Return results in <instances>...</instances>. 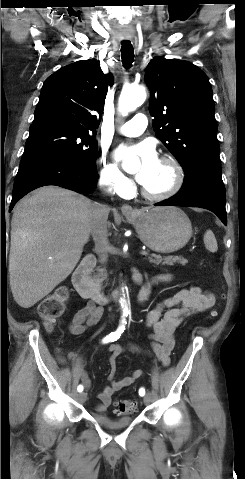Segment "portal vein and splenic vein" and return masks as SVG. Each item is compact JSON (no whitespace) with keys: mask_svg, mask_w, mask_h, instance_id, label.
I'll list each match as a JSON object with an SVG mask.
<instances>
[{"mask_svg":"<svg viewBox=\"0 0 245 479\" xmlns=\"http://www.w3.org/2000/svg\"><path fill=\"white\" fill-rule=\"evenodd\" d=\"M141 254L144 255V256H148V255H149V253H148L147 251H142Z\"/></svg>","mask_w":245,"mask_h":479,"instance_id":"portal-vein-and-splenic-vein-1","label":"portal vein and splenic vein"}]
</instances>
